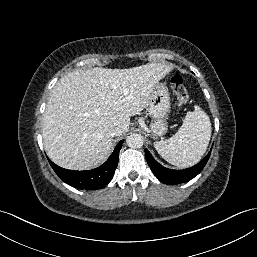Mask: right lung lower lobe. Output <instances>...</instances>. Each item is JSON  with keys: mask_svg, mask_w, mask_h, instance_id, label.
<instances>
[{"mask_svg": "<svg viewBox=\"0 0 257 257\" xmlns=\"http://www.w3.org/2000/svg\"><path fill=\"white\" fill-rule=\"evenodd\" d=\"M121 140L115 147L113 153L101 166L87 171H73L61 168L48 159L51 167L58 177L68 185L86 190H97L107 185L118 165L119 151L122 147Z\"/></svg>", "mask_w": 257, "mask_h": 257, "instance_id": "1", "label": "right lung lower lobe"}]
</instances>
